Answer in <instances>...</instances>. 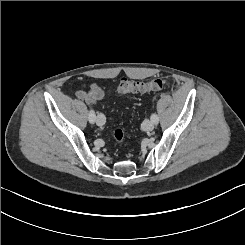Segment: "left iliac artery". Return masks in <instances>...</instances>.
I'll return each mask as SVG.
<instances>
[{
	"instance_id": "44dca946",
	"label": "left iliac artery",
	"mask_w": 245,
	"mask_h": 245,
	"mask_svg": "<svg viewBox=\"0 0 245 245\" xmlns=\"http://www.w3.org/2000/svg\"><path fill=\"white\" fill-rule=\"evenodd\" d=\"M151 121L154 122L155 124L158 123L159 118H158V116H157L156 113H153V114L151 115Z\"/></svg>"
}]
</instances>
